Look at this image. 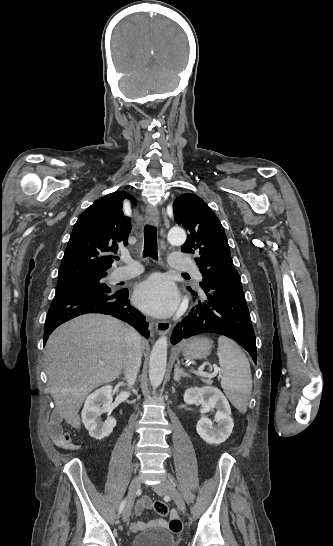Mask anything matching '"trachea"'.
<instances>
[{"instance_id": "1", "label": "trachea", "mask_w": 333, "mask_h": 546, "mask_svg": "<svg viewBox=\"0 0 333 546\" xmlns=\"http://www.w3.org/2000/svg\"><path fill=\"white\" fill-rule=\"evenodd\" d=\"M143 256H150L153 259L158 258L157 229L155 226L146 225L144 228V251ZM119 260V258L117 259ZM186 274L187 273H183Z\"/></svg>"}]
</instances>
